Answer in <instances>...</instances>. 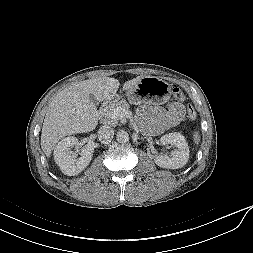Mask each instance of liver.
I'll list each match as a JSON object with an SVG mask.
<instances>
[{
  "mask_svg": "<svg viewBox=\"0 0 253 253\" xmlns=\"http://www.w3.org/2000/svg\"><path fill=\"white\" fill-rule=\"evenodd\" d=\"M143 77L126 81L123 90L133 88ZM119 86L115 78L99 77L74 83L59 91L50 103L42 127L41 148L46 157H50L61 138L95 129L98 110L89 100L90 94L98 101L111 99Z\"/></svg>",
  "mask_w": 253,
  "mask_h": 253,
  "instance_id": "liver-1",
  "label": "liver"
}]
</instances>
